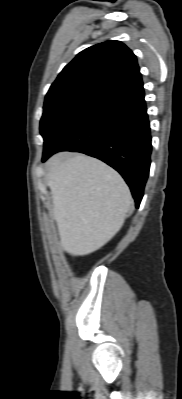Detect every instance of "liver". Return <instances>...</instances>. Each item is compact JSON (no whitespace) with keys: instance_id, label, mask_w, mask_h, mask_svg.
I'll return each mask as SVG.
<instances>
[{"instance_id":"liver-1","label":"liver","mask_w":182,"mask_h":399,"mask_svg":"<svg viewBox=\"0 0 182 399\" xmlns=\"http://www.w3.org/2000/svg\"><path fill=\"white\" fill-rule=\"evenodd\" d=\"M47 183L61 246L73 256L88 255L110 241L133 203L114 169L82 154L53 156Z\"/></svg>"}]
</instances>
